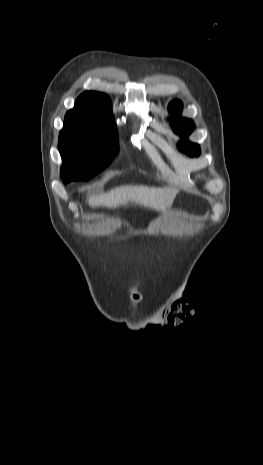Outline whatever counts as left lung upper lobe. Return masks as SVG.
<instances>
[{"mask_svg":"<svg viewBox=\"0 0 263 465\" xmlns=\"http://www.w3.org/2000/svg\"><path fill=\"white\" fill-rule=\"evenodd\" d=\"M181 111V101L174 100L169 104V112L173 115V119L171 120L173 131L182 137H186L194 130L195 125L189 119L180 118L179 115ZM178 149L182 152L189 154L190 156H198L200 154L199 146L187 140L181 141L178 144Z\"/></svg>","mask_w":263,"mask_h":465,"instance_id":"left-lung-upper-lobe-1","label":"left lung upper lobe"}]
</instances>
